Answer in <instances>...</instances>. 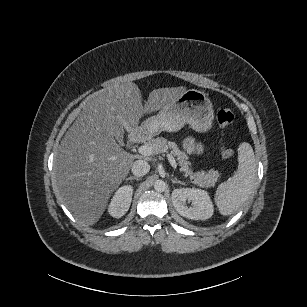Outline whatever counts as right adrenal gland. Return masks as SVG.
I'll list each match as a JSON object with an SVG mask.
<instances>
[{
    "mask_svg": "<svg viewBox=\"0 0 307 307\" xmlns=\"http://www.w3.org/2000/svg\"><path fill=\"white\" fill-rule=\"evenodd\" d=\"M130 179H137V180H139L140 178L139 177H135V176H128V177H126V180H130Z\"/></svg>",
    "mask_w": 307,
    "mask_h": 307,
    "instance_id": "right-adrenal-gland-1",
    "label": "right adrenal gland"
}]
</instances>
